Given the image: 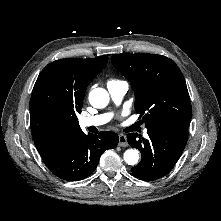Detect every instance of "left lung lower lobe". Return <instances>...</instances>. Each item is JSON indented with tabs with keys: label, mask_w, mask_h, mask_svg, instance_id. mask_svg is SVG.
Returning a JSON list of instances; mask_svg holds the SVG:
<instances>
[{
	"label": "left lung lower lobe",
	"mask_w": 221,
	"mask_h": 221,
	"mask_svg": "<svg viewBox=\"0 0 221 221\" xmlns=\"http://www.w3.org/2000/svg\"><path fill=\"white\" fill-rule=\"evenodd\" d=\"M148 139L136 133L127 135L128 143L142 155L141 162L132 173L145 181L167 175L181 156L187 141L188 127L176 124H159L147 127Z\"/></svg>",
	"instance_id": "obj_1"
}]
</instances>
